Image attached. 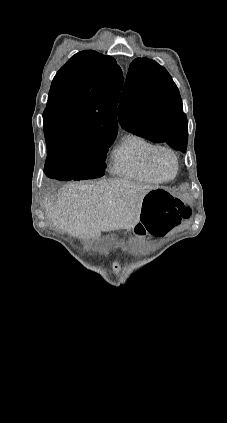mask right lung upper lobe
Returning <instances> with one entry per match:
<instances>
[{"mask_svg": "<svg viewBox=\"0 0 227 423\" xmlns=\"http://www.w3.org/2000/svg\"><path fill=\"white\" fill-rule=\"evenodd\" d=\"M123 74L116 60L93 50L75 54L52 81L43 113L46 142L116 136Z\"/></svg>", "mask_w": 227, "mask_h": 423, "instance_id": "obj_1", "label": "right lung upper lobe"}]
</instances>
